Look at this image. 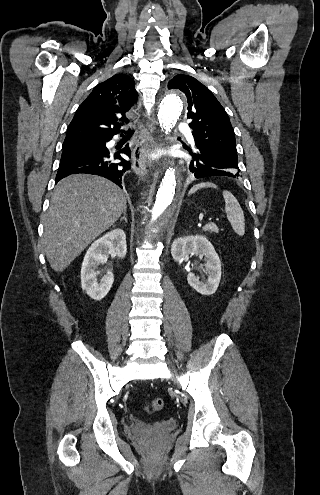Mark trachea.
Listing matches in <instances>:
<instances>
[{
    "label": "trachea",
    "mask_w": 320,
    "mask_h": 495,
    "mask_svg": "<svg viewBox=\"0 0 320 495\" xmlns=\"http://www.w3.org/2000/svg\"><path fill=\"white\" fill-rule=\"evenodd\" d=\"M133 133H134V131H133V130H131L128 134H129V135H131V134H133Z\"/></svg>",
    "instance_id": "1"
}]
</instances>
